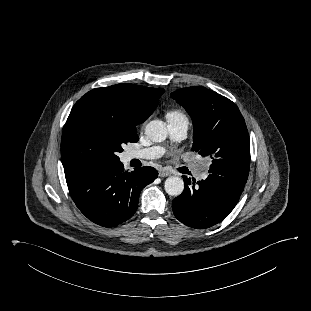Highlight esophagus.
<instances>
[{
  "label": "esophagus",
  "mask_w": 311,
  "mask_h": 311,
  "mask_svg": "<svg viewBox=\"0 0 311 311\" xmlns=\"http://www.w3.org/2000/svg\"><path fill=\"white\" fill-rule=\"evenodd\" d=\"M169 175H171V173L168 170H166V169H162V170L159 171V176L160 177H167Z\"/></svg>",
  "instance_id": "1"
}]
</instances>
